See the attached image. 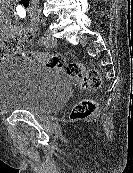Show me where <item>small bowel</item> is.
I'll list each match as a JSON object with an SVG mask.
<instances>
[{"label":"small bowel","instance_id":"small-bowel-1","mask_svg":"<svg viewBox=\"0 0 133 173\" xmlns=\"http://www.w3.org/2000/svg\"><path fill=\"white\" fill-rule=\"evenodd\" d=\"M17 9L19 12H25L29 15V24L26 28H22L10 21L0 19V50L5 47V44L9 40L17 39L20 41V47L17 50L9 54H0V59H5V57L18 53L25 55L31 52L25 51L22 46L28 44L35 36L39 24V14L38 11L33 7L32 3L26 0H20Z\"/></svg>","mask_w":133,"mask_h":173}]
</instances>
